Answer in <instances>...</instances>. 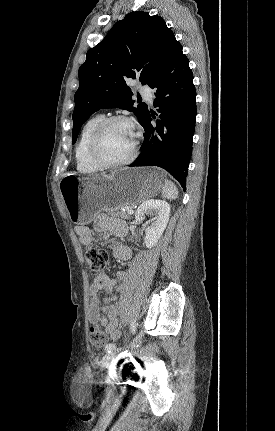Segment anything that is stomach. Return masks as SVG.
<instances>
[{
  "mask_svg": "<svg viewBox=\"0 0 275 431\" xmlns=\"http://www.w3.org/2000/svg\"><path fill=\"white\" fill-rule=\"evenodd\" d=\"M165 176L155 167L123 168L110 175L80 177L65 175L59 185L70 220L89 224L100 210L116 211L156 195Z\"/></svg>",
  "mask_w": 275,
  "mask_h": 431,
  "instance_id": "stomach-1",
  "label": "stomach"
}]
</instances>
